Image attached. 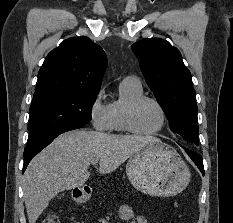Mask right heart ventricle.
Returning <instances> with one entry per match:
<instances>
[{"mask_svg": "<svg viewBox=\"0 0 233 223\" xmlns=\"http://www.w3.org/2000/svg\"><path fill=\"white\" fill-rule=\"evenodd\" d=\"M120 97L109 105L110 130L118 133H129L125 123L127 105L134 99L143 95L141 83L122 82L119 87Z\"/></svg>", "mask_w": 233, "mask_h": 223, "instance_id": "e07e8e85", "label": "right heart ventricle"}]
</instances>
